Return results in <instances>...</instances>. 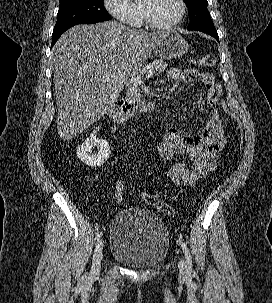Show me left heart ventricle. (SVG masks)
<instances>
[{"label": "left heart ventricle", "mask_w": 272, "mask_h": 303, "mask_svg": "<svg viewBox=\"0 0 272 303\" xmlns=\"http://www.w3.org/2000/svg\"><path fill=\"white\" fill-rule=\"evenodd\" d=\"M150 12L154 21L167 25L178 18L180 5L178 0H151Z\"/></svg>", "instance_id": "obj_1"}]
</instances>
